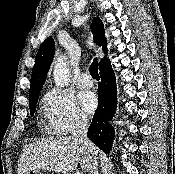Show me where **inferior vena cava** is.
<instances>
[{"label": "inferior vena cava", "mask_w": 175, "mask_h": 174, "mask_svg": "<svg viewBox=\"0 0 175 174\" xmlns=\"http://www.w3.org/2000/svg\"><path fill=\"white\" fill-rule=\"evenodd\" d=\"M89 123L85 118H78L75 121L74 128L72 130L73 139L83 146H85L87 152L91 158L90 165V173L89 174H99L98 173V162H97V149L95 145L88 139L87 131H88Z\"/></svg>", "instance_id": "1"}]
</instances>
